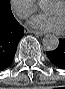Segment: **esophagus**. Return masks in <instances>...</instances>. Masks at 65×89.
I'll return each instance as SVG.
<instances>
[{
  "mask_svg": "<svg viewBox=\"0 0 65 89\" xmlns=\"http://www.w3.org/2000/svg\"><path fill=\"white\" fill-rule=\"evenodd\" d=\"M27 32L28 33H32V34H35L37 36H42V33L41 32H38V31H35V30L27 29Z\"/></svg>",
  "mask_w": 65,
  "mask_h": 89,
  "instance_id": "1",
  "label": "esophagus"
}]
</instances>
